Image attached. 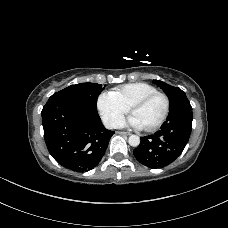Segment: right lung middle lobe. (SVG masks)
Masks as SVG:
<instances>
[{"label": "right lung middle lobe", "instance_id": "right-lung-middle-lobe-1", "mask_svg": "<svg viewBox=\"0 0 228 228\" xmlns=\"http://www.w3.org/2000/svg\"><path fill=\"white\" fill-rule=\"evenodd\" d=\"M103 89L104 87H102L101 84L80 83L71 85L59 92H56L51 97L74 99L97 108V98Z\"/></svg>", "mask_w": 228, "mask_h": 228}]
</instances>
